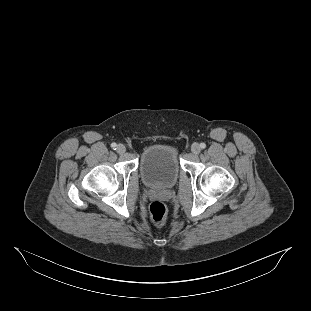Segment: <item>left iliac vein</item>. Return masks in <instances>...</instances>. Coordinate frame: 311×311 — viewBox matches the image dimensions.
I'll list each match as a JSON object with an SVG mask.
<instances>
[{"label": "left iliac vein", "instance_id": "left-iliac-vein-1", "mask_svg": "<svg viewBox=\"0 0 311 311\" xmlns=\"http://www.w3.org/2000/svg\"><path fill=\"white\" fill-rule=\"evenodd\" d=\"M191 151L193 154L197 155L200 153L201 149H200V145L197 143H193L191 146Z\"/></svg>", "mask_w": 311, "mask_h": 311}]
</instances>
